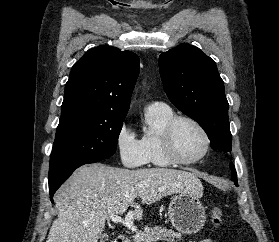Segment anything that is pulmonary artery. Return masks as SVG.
Returning <instances> with one entry per match:
<instances>
[{
    "mask_svg": "<svg viewBox=\"0 0 279 242\" xmlns=\"http://www.w3.org/2000/svg\"><path fill=\"white\" fill-rule=\"evenodd\" d=\"M152 105H164L163 102H154Z\"/></svg>",
    "mask_w": 279,
    "mask_h": 242,
    "instance_id": "pulmonary-artery-1",
    "label": "pulmonary artery"
}]
</instances>
